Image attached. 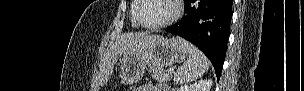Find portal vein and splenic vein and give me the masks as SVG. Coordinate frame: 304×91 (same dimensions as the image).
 Returning <instances> with one entry per match:
<instances>
[{
    "mask_svg": "<svg viewBox=\"0 0 304 91\" xmlns=\"http://www.w3.org/2000/svg\"><path fill=\"white\" fill-rule=\"evenodd\" d=\"M170 73H173V69L172 68H169L168 70Z\"/></svg>",
    "mask_w": 304,
    "mask_h": 91,
    "instance_id": "obj_1",
    "label": "portal vein and splenic vein"
}]
</instances>
